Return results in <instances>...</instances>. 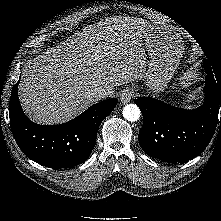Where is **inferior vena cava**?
Returning <instances> with one entry per match:
<instances>
[{
  "instance_id": "inferior-vena-cava-1",
  "label": "inferior vena cava",
  "mask_w": 221,
  "mask_h": 221,
  "mask_svg": "<svg viewBox=\"0 0 221 221\" xmlns=\"http://www.w3.org/2000/svg\"><path fill=\"white\" fill-rule=\"evenodd\" d=\"M91 96L98 101L103 98L109 97L110 93L105 89H96L91 93Z\"/></svg>"
}]
</instances>
